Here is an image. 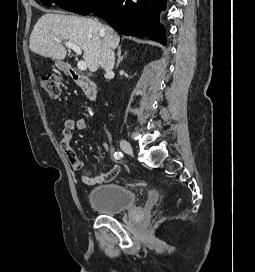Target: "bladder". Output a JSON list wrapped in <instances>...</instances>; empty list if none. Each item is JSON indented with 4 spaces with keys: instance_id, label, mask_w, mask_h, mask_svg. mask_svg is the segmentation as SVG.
<instances>
[{
    "instance_id": "bladder-1",
    "label": "bladder",
    "mask_w": 255,
    "mask_h": 272,
    "mask_svg": "<svg viewBox=\"0 0 255 272\" xmlns=\"http://www.w3.org/2000/svg\"><path fill=\"white\" fill-rule=\"evenodd\" d=\"M88 201L102 215L115 216L136 205V194L123 185L107 183L94 187Z\"/></svg>"
}]
</instances>
